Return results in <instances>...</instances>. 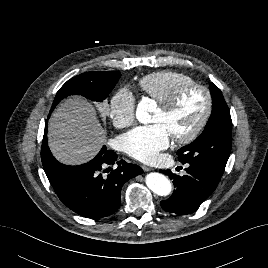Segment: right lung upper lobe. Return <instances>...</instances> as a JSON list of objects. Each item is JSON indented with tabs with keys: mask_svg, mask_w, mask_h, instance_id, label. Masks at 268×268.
<instances>
[{
	"mask_svg": "<svg viewBox=\"0 0 268 268\" xmlns=\"http://www.w3.org/2000/svg\"><path fill=\"white\" fill-rule=\"evenodd\" d=\"M117 71H109V73L113 74L116 73ZM82 78L84 77L83 74L80 75ZM81 86L86 88V89H92L96 87L95 82H92L91 80H87V79H82L80 81ZM55 103L52 105L50 113L52 112V110L55 108ZM50 116V114L48 115V117ZM41 159H42V163H43V167L44 169L48 172V173H56L58 175V170H59V162L56 161V159L52 156L49 148H48V144H47V139L43 138V143H42V148H41ZM59 176V175H58Z\"/></svg>",
	"mask_w": 268,
	"mask_h": 268,
	"instance_id": "cb5924a9",
	"label": "right lung upper lobe"
}]
</instances>
